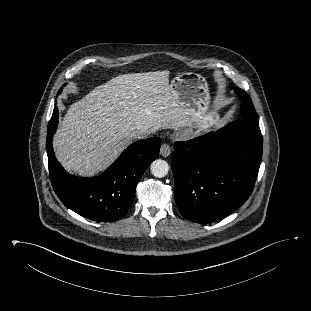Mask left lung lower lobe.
Here are the masks:
<instances>
[{
	"instance_id": "left-lung-lower-lobe-1",
	"label": "left lung lower lobe",
	"mask_w": 311,
	"mask_h": 311,
	"mask_svg": "<svg viewBox=\"0 0 311 311\" xmlns=\"http://www.w3.org/2000/svg\"><path fill=\"white\" fill-rule=\"evenodd\" d=\"M258 125L232 122L186 142H176L171 158L174 195L180 213L196 223L216 222L251 195L261 162Z\"/></svg>"
}]
</instances>
